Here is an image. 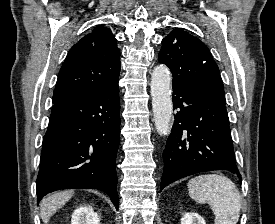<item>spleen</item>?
I'll return each instance as SVG.
<instances>
[{
    "label": "spleen",
    "mask_w": 275,
    "mask_h": 224,
    "mask_svg": "<svg viewBox=\"0 0 275 224\" xmlns=\"http://www.w3.org/2000/svg\"><path fill=\"white\" fill-rule=\"evenodd\" d=\"M187 186L192 199L211 206L215 224H237L241 196L229 178L218 174L198 175L189 180Z\"/></svg>",
    "instance_id": "3e777b00"
}]
</instances>
